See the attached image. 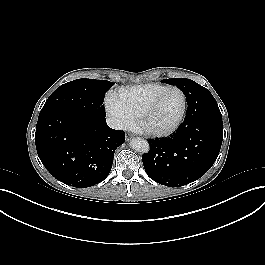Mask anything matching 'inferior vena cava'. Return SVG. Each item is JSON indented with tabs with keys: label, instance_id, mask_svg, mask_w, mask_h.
<instances>
[{
	"label": "inferior vena cava",
	"instance_id": "obj_1",
	"mask_svg": "<svg viewBox=\"0 0 265 265\" xmlns=\"http://www.w3.org/2000/svg\"><path fill=\"white\" fill-rule=\"evenodd\" d=\"M106 121L108 126L111 127L112 129L125 130L127 127L126 122L118 117L111 116L108 117Z\"/></svg>",
	"mask_w": 265,
	"mask_h": 265
}]
</instances>
